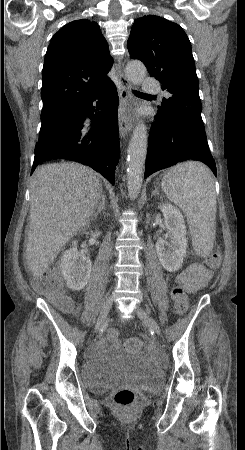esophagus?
Listing matches in <instances>:
<instances>
[{"instance_id":"1","label":"esophagus","mask_w":245,"mask_h":450,"mask_svg":"<svg viewBox=\"0 0 245 450\" xmlns=\"http://www.w3.org/2000/svg\"><path fill=\"white\" fill-rule=\"evenodd\" d=\"M117 77L120 81L119 88V111H118V124L119 131L122 138L127 135L132 129V93L131 85L128 82L126 76L122 72L121 65L117 67Z\"/></svg>"}]
</instances>
